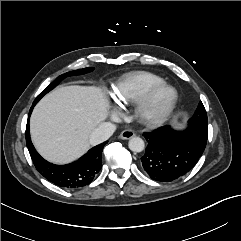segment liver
Returning a JSON list of instances; mask_svg holds the SVG:
<instances>
[{
	"instance_id": "1",
	"label": "liver",
	"mask_w": 241,
	"mask_h": 241,
	"mask_svg": "<svg viewBox=\"0 0 241 241\" xmlns=\"http://www.w3.org/2000/svg\"><path fill=\"white\" fill-rule=\"evenodd\" d=\"M107 115L108 102L99 88H58L44 96L33 110V144L50 162H72L90 148V134Z\"/></svg>"
}]
</instances>
